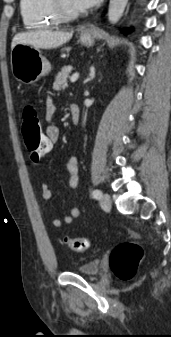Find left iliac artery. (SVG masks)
<instances>
[{"instance_id":"44dca946","label":"left iliac artery","mask_w":171,"mask_h":337,"mask_svg":"<svg viewBox=\"0 0 171 337\" xmlns=\"http://www.w3.org/2000/svg\"><path fill=\"white\" fill-rule=\"evenodd\" d=\"M92 196L93 198L95 199H100L102 197V192L99 190V189H95L93 192H92Z\"/></svg>"}]
</instances>
